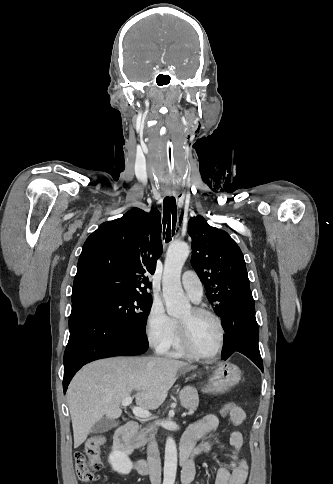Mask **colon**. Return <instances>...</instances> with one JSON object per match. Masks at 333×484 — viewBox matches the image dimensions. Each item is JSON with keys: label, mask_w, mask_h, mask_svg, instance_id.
I'll use <instances>...</instances> for the list:
<instances>
[{"label": "colon", "mask_w": 333, "mask_h": 484, "mask_svg": "<svg viewBox=\"0 0 333 484\" xmlns=\"http://www.w3.org/2000/svg\"><path fill=\"white\" fill-rule=\"evenodd\" d=\"M238 407L235 403H226L222 406V415H228ZM105 443L103 436L89 438L84 447V451L76 452L75 467L78 478L86 483L96 482L100 479V451Z\"/></svg>", "instance_id": "5ec220e1"}]
</instances>
